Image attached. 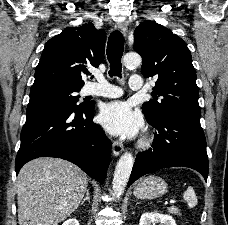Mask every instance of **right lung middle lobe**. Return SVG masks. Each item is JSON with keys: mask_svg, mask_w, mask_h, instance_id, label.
<instances>
[{"mask_svg": "<svg viewBox=\"0 0 228 225\" xmlns=\"http://www.w3.org/2000/svg\"><path fill=\"white\" fill-rule=\"evenodd\" d=\"M80 89L62 83H44L32 86L28 107L49 102H64L79 109L84 108L87 104H76L79 101V96L74 93Z\"/></svg>", "mask_w": 228, "mask_h": 225, "instance_id": "obj_1", "label": "right lung middle lobe"}]
</instances>
